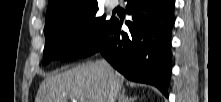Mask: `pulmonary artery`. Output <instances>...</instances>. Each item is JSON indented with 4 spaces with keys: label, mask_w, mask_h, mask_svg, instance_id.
Masks as SVG:
<instances>
[{
    "label": "pulmonary artery",
    "mask_w": 221,
    "mask_h": 102,
    "mask_svg": "<svg viewBox=\"0 0 221 102\" xmlns=\"http://www.w3.org/2000/svg\"><path fill=\"white\" fill-rule=\"evenodd\" d=\"M107 4L109 5V7L114 8L117 6L118 0H108Z\"/></svg>",
    "instance_id": "pulmonary-artery-1"
}]
</instances>
